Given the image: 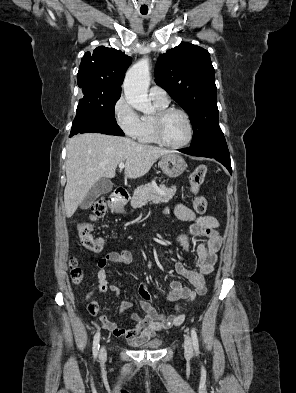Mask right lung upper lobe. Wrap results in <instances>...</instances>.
Instances as JSON below:
<instances>
[{
	"instance_id": "1",
	"label": "right lung upper lobe",
	"mask_w": 296,
	"mask_h": 393,
	"mask_svg": "<svg viewBox=\"0 0 296 393\" xmlns=\"http://www.w3.org/2000/svg\"><path fill=\"white\" fill-rule=\"evenodd\" d=\"M132 58L124 52L104 46L82 58L77 81L84 95L121 94L124 75Z\"/></svg>"
}]
</instances>
